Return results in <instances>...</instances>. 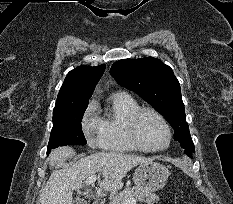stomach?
<instances>
[{
	"label": "stomach",
	"mask_w": 233,
	"mask_h": 204,
	"mask_svg": "<svg viewBox=\"0 0 233 204\" xmlns=\"http://www.w3.org/2000/svg\"><path fill=\"white\" fill-rule=\"evenodd\" d=\"M169 175V170L163 164L151 161L136 168L133 180L136 186L155 192L165 187Z\"/></svg>",
	"instance_id": "0dacf381"
}]
</instances>
